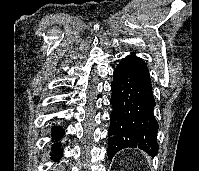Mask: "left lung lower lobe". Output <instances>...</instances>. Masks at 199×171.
<instances>
[{
  "instance_id": "1",
  "label": "left lung lower lobe",
  "mask_w": 199,
  "mask_h": 171,
  "mask_svg": "<svg viewBox=\"0 0 199 171\" xmlns=\"http://www.w3.org/2000/svg\"><path fill=\"white\" fill-rule=\"evenodd\" d=\"M107 154L110 160L124 148H139L148 154L158 153V123L149 70L135 54L121 59L111 84Z\"/></svg>"
}]
</instances>
